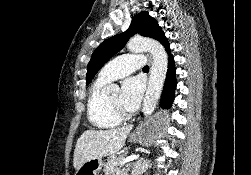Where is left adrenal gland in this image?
Listing matches in <instances>:
<instances>
[{
  "label": "left adrenal gland",
  "mask_w": 251,
  "mask_h": 175,
  "mask_svg": "<svg viewBox=\"0 0 251 175\" xmlns=\"http://www.w3.org/2000/svg\"><path fill=\"white\" fill-rule=\"evenodd\" d=\"M148 163L149 161H147V159L140 157L138 161L133 163V169L131 171L132 175H139V173H142V171H146Z\"/></svg>",
  "instance_id": "1"
}]
</instances>
